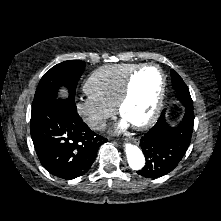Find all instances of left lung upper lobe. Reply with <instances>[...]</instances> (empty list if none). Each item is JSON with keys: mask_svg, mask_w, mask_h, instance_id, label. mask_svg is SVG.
I'll return each mask as SVG.
<instances>
[{"mask_svg": "<svg viewBox=\"0 0 221 221\" xmlns=\"http://www.w3.org/2000/svg\"><path fill=\"white\" fill-rule=\"evenodd\" d=\"M172 76V85L176 92V98L181 102H192L188 87L182 80V78L175 72L173 69L171 70Z\"/></svg>", "mask_w": 221, "mask_h": 221, "instance_id": "1", "label": "left lung upper lobe"}]
</instances>
